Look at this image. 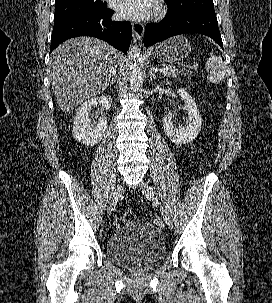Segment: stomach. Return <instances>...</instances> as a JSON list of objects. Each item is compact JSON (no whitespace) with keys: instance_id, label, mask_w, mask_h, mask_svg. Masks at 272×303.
<instances>
[{"instance_id":"obj_1","label":"stomach","mask_w":272,"mask_h":303,"mask_svg":"<svg viewBox=\"0 0 272 303\" xmlns=\"http://www.w3.org/2000/svg\"><path fill=\"white\" fill-rule=\"evenodd\" d=\"M191 52V45L184 36L172 37L160 43L153 55L162 62H176L184 59Z\"/></svg>"}]
</instances>
